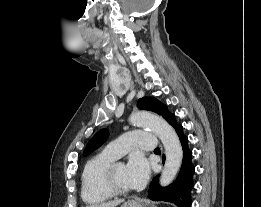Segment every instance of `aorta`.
<instances>
[{"label": "aorta", "instance_id": "1", "mask_svg": "<svg viewBox=\"0 0 261 207\" xmlns=\"http://www.w3.org/2000/svg\"><path fill=\"white\" fill-rule=\"evenodd\" d=\"M129 121L133 126L149 128L163 143L166 160L160 177V185H169L177 175L183 159L182 146L176 132L161 117L147 111L133 113Z\"/></svg>", "mask_w": 261, "mask_h": 207}]
</instances>
